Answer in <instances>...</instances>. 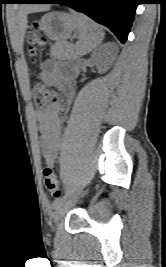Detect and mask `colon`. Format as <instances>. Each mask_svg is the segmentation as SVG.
<instances>
[{
    "label": "colon",
    "instance_id": "5ec220e1",
    "mask_svg": "<svg viewBox=\"0 0 166 267\" xmlns=\"http://www.w3.org/2000/svg\"><path fill=\"white\" fill-rule=\"evenodd\" d=\"M39 24L35 22L33 29L28 33V51L30 55L34 56L37 52L38 46L42 44V38L38 35ZM32 93L35 101V105L39 110H45L56 103L57 92L51 88L46 87L41 82H35L32 85ZM44 185L47 191L54 197L59 198L61 190L59 187V181L54 171L46 167L43 170Z\"/></svg>",
    "mask_w": 166,
    "mask_h": 267
}]
</instances>
